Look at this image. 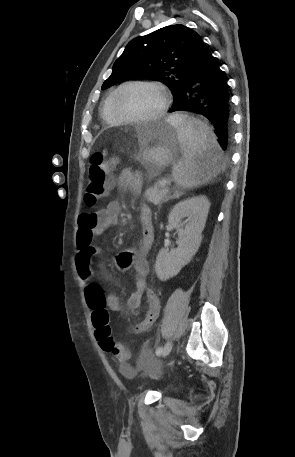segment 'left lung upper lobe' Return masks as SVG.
Wrapping results in <instances>:
<instances>
[{"label": "left lung upper lobe", "mask_w": 295, "mask_h": 457, "mask_svg": "<svg viewBox=\"0 0 295 457\" xmlns=\"http://www.w3.org/2000/svg\"><path fill=\"white\" fill-rule=\"evenodd\" d=\"M202 43L198 33L181 24L134 38L115 61L102 89L123 80H151L165 84L175 98L183 85L186 69Z\"/></svg>", "instance_id": "left-lung-upper-lobe-1"}]
</instances>
